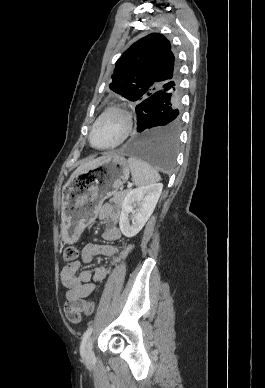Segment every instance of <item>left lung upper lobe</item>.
<instances>
[{"label":"left lung upper lobe","instance_id":"1","mask_svg":"<svg viewBox=\"0 0 265 388\" xmlns=\"http://www.w3.org/2000/svg\"><path fill=\"white\" fill-rule=\"evenodd\" d=\"M179 81L170 42L152 33L132 44L117 60L109 88L139 105L165 84Z\"/></svg>","mask_w":265,"mask_h":388}]
</instances>
